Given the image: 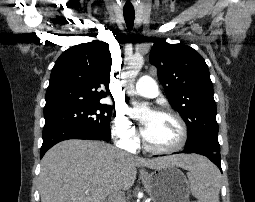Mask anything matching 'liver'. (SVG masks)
I'll use <instances>...</instances> for the list:
<instances>
[{
  "mask_svg": "<svg viewBox=\"0 0 255 202\" xmlns=\"http://www.w3.org/2000/svg\"><path fill=\"white\" fill-rule=\"evenodd\" d=\"M199 159L190 154L143 159L100 141H62L41 161V202H105L111 193L132 187L136 167L189 170Z\"/></svg>",
  "mask_w": 255,
  "mask_h": 202,
  "instance_id": "1",
  "label": "liver"
}]
</instances>
